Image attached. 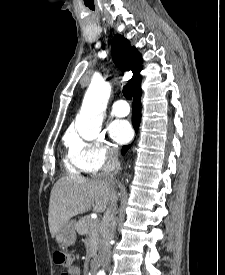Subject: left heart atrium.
Returning a JSON list of instances; mask_svg holds the SVG:
<instances>
[{"mask_svg": "<svg viewBox=\"0 0 225 275\" xmlns=\"http://www.w3.org/2000/svg\"><path fill=\"white\" fill-rule=\"evenodd\" d=\"M110 134L118 143L127 142L132 135V129L130 124L124 120H117L111 123Z\"/></svg>", "mask_w": 225, "mask_h": 275, "instance_id": "left-heart-atrium-1", "label": "left heart atrium"}]
</instances>
